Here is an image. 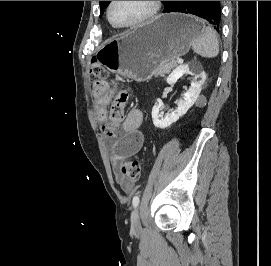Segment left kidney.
<instances>
[{"label": "left kidney", "mask_w": 271, "mask_h": 266, "mask_svg": "<svg viewBox=\"0 0 271 266\" xmlns=\"http://www.w3.org/2000/svg\"><path fill=\"white\" fill-rule=\"evenodd\" d=\"M184 74H190L195 76V80L191 82L188 90L183 94V98L179 100L178 107L171 113L164 115L162 111L164 104L162 101L157 102L152 108V120L153 124L157 128L165 129L172 123L176 122L180 117L185 115L187 111L194 105L198 99L201 87L206 80V74L200 65H181L168 76L167 83L173 85Z\"/></svg>", "instance_id": "obj_1"}]
</instances>
